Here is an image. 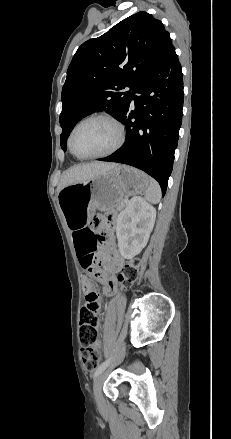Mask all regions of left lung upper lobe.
<instances>
[{"label":"left lung upper lobe","instance_id":"5c2ea615","mask_svg":"<svg viewBox=\"0 0 231 439\" xmlns=\"http://www.w3.org/2000/svg\"><path fill=\"white\" fill-rule=\"evenodd\" d=\"M160 20L144 11L112 27L102 36L84 42L67 70L62 89L61 147L85 116L106 111L119 120L139 80L172 47Z\"/></svg>","mask_w":231,"mask_h":439}]
</instances>
